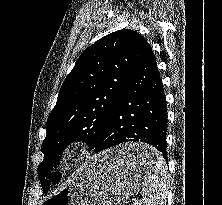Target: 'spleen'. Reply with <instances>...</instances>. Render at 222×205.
I'll return each mask as SVG.
<instances>
[{"mask_svg":"<svg viewBox=\"0 0 222 205\" xmlns=\"http://www.w3.org/2000/svg\"><path fill=\"white\" fill-rule=\"evenodd\" d=\"M167 166L165 159L156 154L150 163L147 180L142 189V201L139 205H166Z\"/></svg>","mask_w":222,"mask_h":205,"instance_id":"3e777b00","label":"spleen"}]
</instances>
